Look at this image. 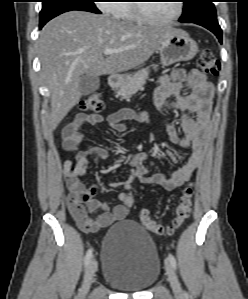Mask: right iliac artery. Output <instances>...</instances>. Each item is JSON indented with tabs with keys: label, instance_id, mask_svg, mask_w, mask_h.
I'll list each match as a JSON object with an SVG mask.
<instances>
[{
	"label": "right iliac artery",
	"instance_id": "obj_1",
	"mask_svg": "<svg viewBox=\"0 0 248 299\" xmlns=\"http://www.w3.org/2000/svg\"><path fill=\"white\" fill-rule=\"evenodd\" d=\"M92 249H89L85 255V259H84V263H85V267H87L90 263V260L92 258Z\"/></svg>",
	"mask_w": 248,
	"mask_h": 299
}]
</instances>
